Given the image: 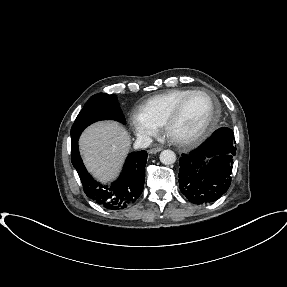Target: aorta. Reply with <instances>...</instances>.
Wrapping results in <instances>:
<instances>
[{"label": "aorta", "mask_w": 287, "mask_h": 287, "mask_svg": "<svg viewBox=\"0 0 287 287\" xmlns=\"http://www.w3.org/2000/svg\"><path fill=\"white\" fill-rule=\"evenodd\" d=\"M160 161L164 165H171L176 161V155L172 150H163L160 153Z\"/></svg>", "instance_id": "762f6f07"}]
</instances>
